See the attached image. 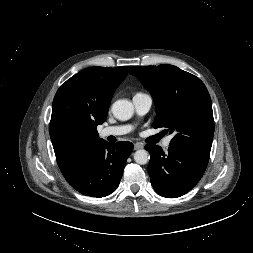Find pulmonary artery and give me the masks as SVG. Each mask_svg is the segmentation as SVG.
<instances>
[{"instance_id": "obj_1", "label": "pulmonary artery", "mask_w": 253, "mask_h": 253, "mask_svg": "<svg viewBox=\"0 0 253 253\" xmlns=\"http://www.w3.org/2000/svg\"><path fill=\"white\" fill-rule=\"evenodd\" d=\"M133 104L135 107V111L139 116H144L148 113L152 106V97L147 93H136L133 96ZM133 127L131 125H120V126H109L103 128L99 135L102 138H106L108 136H119L123 134L129 133ZM171 143V137L165 138L163 141V147L168 149Z\"/></svg>"}]
</instances>
